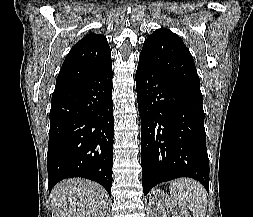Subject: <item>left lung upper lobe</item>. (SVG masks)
I'll use <instances>...</instances> for the list:
<instances>
[{"mask_svg":"<svg viewBox=\"0 0 253 217\" xmlns=\"http://www.w3.org/2000/svg\"><path fill=\"white\" fill-rule=\"evenodd\" d=\"M163 75L200 90V80L191 53L175 33L161 28L145 41L140 58Z\"/></svg>","mask_w":253,"mask_h":217,"instance_id":"5c2ea615","label":"left lung upper lobe"}]
</instances>
